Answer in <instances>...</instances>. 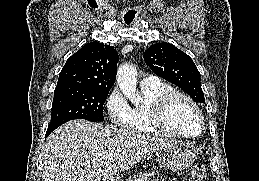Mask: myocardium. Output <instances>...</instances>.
Here are the masks:
<instances>
[{
	"mask_svg": "<svg viewBox=\"0 0 259 181\" xmlns=\"http://www.w3.org/2000/svg\"><path fill=\"white\" fill-rule=\"evenodd\" d=\"M182 99L190 104L199 118V130L194 134H185L175 130L168 121V112L175 100ZM152 115L155 124L169 135L190 139L200 136L204 130L205 120L198 104L187 94L171 90L161 95L154 103Z\"/></svg>",
	"mask_w": 259,
	"mask_h": 181,
	"instance_id": "myocardium-1",
	"label": "myocardium"
}]
</instances>
